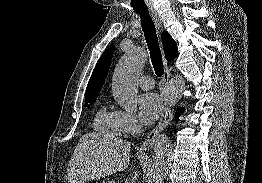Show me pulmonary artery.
<instances>
[{
  "label": "pulmonary artery",
  "mask_w": 262,
  "mask_h": 183,
  "mask_svg": "<svg viewBox=\"0 0 262 183\" xmlns=\"http://www.w3.org/2000/svg\"><path fill=\"white\" fill-rule=\"evenodd\" d=\"M141 88L145 90L152 89L154 86V80L150 75H143L139 78L138 81Z\"/></svg>",
  "instance_id": "pulmonary-artery-1"
}]
</instances>
